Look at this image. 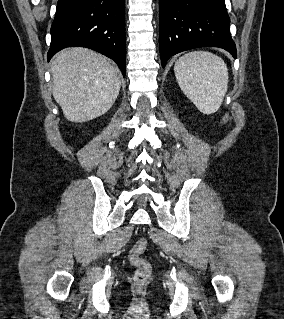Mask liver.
Returning <instances> with one entry per match:
<instances>
[{
    "instance_id": "liver-1",
    "label": "liver",
    "mask_w": 284,
    "mask_h": 319,
    "mask_svg": "<svg viewBox=\"0 0 284 319\" xmlns=\"http://www.w3.org/2000/svg\"><path fill=\"white\" fill-rule=\"evenodd\" d=\"M53 96L65 117L86 122L106 113L120 91L118 67L87 48L62 50L51 66Z\"/></svg>"
}]
</instances>
